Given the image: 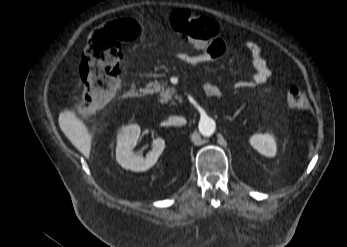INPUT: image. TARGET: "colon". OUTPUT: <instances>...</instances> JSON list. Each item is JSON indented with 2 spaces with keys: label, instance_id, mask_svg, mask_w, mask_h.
Masks as SVG:
<instances>
[{
  "label": "colon",
  "instance_id": "obj_1",
  "mask_svg": "<svg viewBox=\"0 0 347 247\" xmlns=\"http://www.w3.org/2000/svg\"><path fill=\"white\" fill-rule=\"evenodd\" d=\"M170 24L194 47L203 46L219 34L216 21L185 10L173 12ZM139 34V24L124 17L109 21L94 31L79 68L83 82V96L78 108L80 116L89 117L112 101L120 85L124 46ZM286 100L295 110H304L308 106L307 95L297 84L288 88Z\"/></svg>",
  "mask_w": 347,
  "mask_h": 247
}]
</instances>
